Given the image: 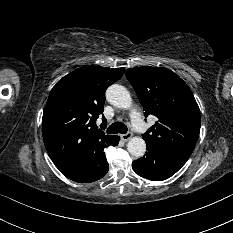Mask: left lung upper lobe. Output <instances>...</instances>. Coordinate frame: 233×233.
I'll use <instances>...</instances> for the list:
<instances>
[{"label": "left lung upper lobe", "instance_id": "obj_1", "mask_svg": "<svg viewBox=\"0 0 233 233\" xmlns=\"http://www.w3.org/2000/svg\"><path fill=\"white\" fill-rule=\"evenodd\" d=\"M144 115L158 118L143 135L146 144L192 153L196 145L201 116L189 86L174 72L160 67L128 69Z\"/></svg>", "mask_w": 233, "mask_h": 233}]
</instances>
